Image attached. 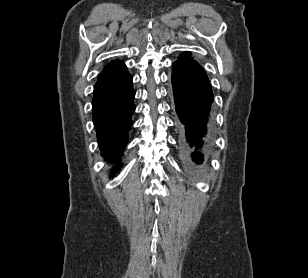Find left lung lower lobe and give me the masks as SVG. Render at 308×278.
Listing matches in <instances>:
<instances>
[{
    "mask_svg": "<svg viewBox=\"0 0 308 278\" xmlns=\"http://www.w3.org/2000/svg\"><path fill=\"white\" fill-rule=\"evenodd\" d=\"M172 85L182 145L196 163H202L214 100L209 79L198 62L189 58L173 63Z\"/></svg>",
    "mask_w": 308,
    "mask_h": 278,
    "instance_id": "1",
    "label": "left lung lower lobe"
}]
</instances>
